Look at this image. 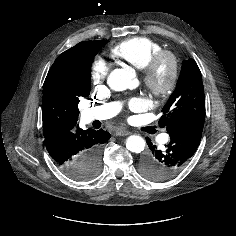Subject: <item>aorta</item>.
<instances>
[{
	"label": "aorta",
	"mask_w": 236,
	"mask_h": 236,
	"mask_svg": "<svg viewBox=\"0 0 236 236\" xmlns=\"http://www.w3.org/2000/svg\"><path fill=\"white\" fill-rule=\"evenodd\" d=\"M135 71L130 68L114 69L108 76L107 83L115 91H124L135 86ZM143 137L131 135L126 140V148L133 153H140L145 149Z\"/></svg>",
	"instance_id": "obj_1"
}]
</instances>
